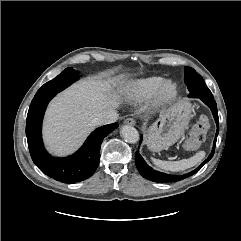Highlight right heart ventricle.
<instances>
[{
	"label": "right heart ventricle",
	"mask_w": 241,
	"mask_h": 241,
	"mask_svg": "<svg viewBox=\"0 0 241 241\" xmlns=\"http://www.w3.org/2000/svg\"><path fill=\"white\" fill-rule=\"evenodd\" d=\"M164 81L161 76H149L130 83L125 89V96L132 101H145L153 95L159 85Z\"/></svg>",
	"instance_id": "1"
}]
</instances>
